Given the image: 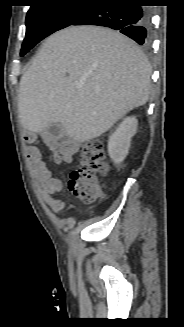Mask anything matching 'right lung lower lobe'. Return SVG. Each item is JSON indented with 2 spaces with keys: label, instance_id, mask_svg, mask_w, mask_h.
<instances>
[{
  "label": "right lung lower lobe",
  "instance_id": "1",
  "mask_svg": "<svg viewBox=\"0 0 184 327\" xmlns=\"http://www.w3.org/2000/svg\"><path fill=\"white\" fill-rule=\"evenodd\" d=\"M142 0H94L72 25H97L119 30L140 45H148L151 36L149 10Z\"/></svg>",
  "mask_w": 184,
  "mask_h": 327
}]
</instances>
